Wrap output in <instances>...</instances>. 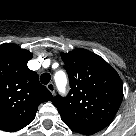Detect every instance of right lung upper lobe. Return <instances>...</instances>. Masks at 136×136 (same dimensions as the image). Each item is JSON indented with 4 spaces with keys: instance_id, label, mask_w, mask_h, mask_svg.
<instances>
[{
    "instance_id": "1",
    "label": "right lung upper lobe",
    "mask_w": 136,
    "mask_h": 136,
    "mask_svg": "<svg viewBox=\"0 0 136 136\" xmlns=\"http://www.w3.org/2000/svg\"><path fill=\"white\" fill-rule=\"evenodd\" d=\"M32 53L16 44L0 45V129L18 131L30 124L38 106L52 99L36 72L27 67Z\"/></svg>"
}]
</instances>
